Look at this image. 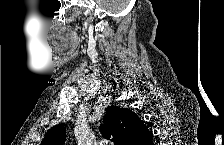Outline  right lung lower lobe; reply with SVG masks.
Instances as JSON below:
<instances>
[{
  "mask_svg": "<svg viewBox=\"0 0 224 145\" xmlns=\"http://www.w3.org/2000/svg\"><path fill=\"white\" fill-rule=\"evenodd\" d=\"M148 145L152 144V139L147 142Z\"/></svg>",
  "mask_w": 224,
  "mask_h": 145,
  "instance_id": "1",
  "label": "right lung lower lobe"
}]
</instances>
